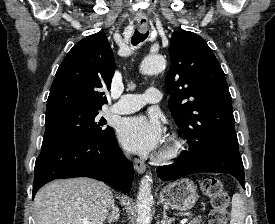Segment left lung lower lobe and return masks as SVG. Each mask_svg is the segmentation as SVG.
<instances>
[{
	"label": "left lung lower lobe",
	"mask_w": 275,
	"mask_h": 224,
	"mask_svg": "<svg viewBox=\"0 0 275 224\" xmlns=\"http://www.w3.org/2000/svg\"><path fill=\"white\" fill-rule=\"evenodd\" d=\"M198 171L231 174L245 188L244 167L238 147H189L188 151H182L175 163L157 168L163 181L175 180Z\"/></svg>",
	"instance_id": "0a47b994"
}]
</instances>
